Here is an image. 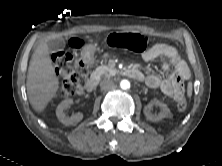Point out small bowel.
<instances>
[{
	"label": "small bowel",
	"mask_w": 222,
	"mask_h": 166,
	"mask_svg": "<svg viewBox=\"0 0 222 166\" xmlns=\"http://www.w3.org/2000/svg\"><path fill=\"white\" fill-rule=\"evenodd\" d=\"M142 58L145 61L160 58L162 69L167 73L166 78H161L156 74L148 75L145 79L148 87L160 89L163 94L176 101L184 97V82L189 79L190 71L186 62L174 47L167 44H156L146 50L142 54Z\"/></svg>",
	"instance_id": "obj_1"
}]
</instances>
